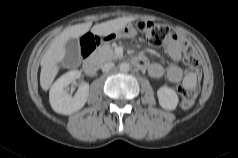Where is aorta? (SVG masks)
I'll use <instances>...</instances> for the list:
<instances>
[{"instance_id": "1", "label": "aorta", "mask_w": 238, "mask_h": 158, "mask_svg": "<svg viewBox=\"0 0 238 158\" xmlns=\"http://www.w3.org/2000/svg\"><path fill=\"white\" fill-rule=\"evenodd\" d=\"M129 69H130L129 63L122 62V63L119 64V70H120L121 72L126 73V72L129 71Z\"/></svg>"}]
</instances>
